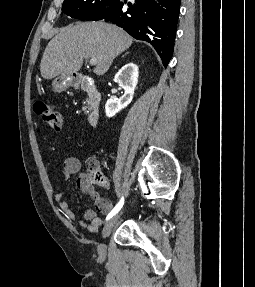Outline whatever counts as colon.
Segmentation results:
<instances>
[{"mask_svg":"<svg viewBox=\"0 0 255 287\" xmlns=\"http://www.w3.org/2000/svg\"><path fill=\"white\" fill-rule=\"evenodd\" d=\"M34 110L39 114L44 122L53 130L60 131L62 128V117L61 114L56 111L52 106L38 101L34 105ZM88 180L91 183L97 185H104L106 180L104 175L100 172L98 167L95 164L89 166Z\"/></svg>","mask_w":255,"mask_h":287,"instance_id":"5ec220e1","label":"colon"}]
</instances>
